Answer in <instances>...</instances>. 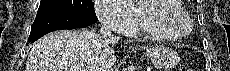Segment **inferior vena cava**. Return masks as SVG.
Listing matches in <instances>:
<instances>
[{"label":"inferior vena cava","instance_id":"602c4592","mask_svg":"<svg viewBox=\"0 0 230 71\" xmlns=\"http://www.w3.org/2000/svg\"><path fill=\"white\" fill-rule=\"evenodd\" d=\"M100 35L105 41H114L115 38L112 36L110 28L106 24H102L100 30H99Z\"/></svg>","mask_w":230,"mask_h":71}]
</instances>
